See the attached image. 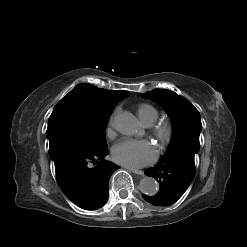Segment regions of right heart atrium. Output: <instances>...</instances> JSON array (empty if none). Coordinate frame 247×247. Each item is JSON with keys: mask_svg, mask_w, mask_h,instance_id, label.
<instances>
[{"mask_svg": "<svg viewBox=\"0 0 247 247\" xmlns=\"http://www.w3.org/2000/svg\"><path fill=\"white\" fill-rule=\"evenodd\" d=\"M118 113V110L116 109L110 116L107 127H106V134L108 137H112L114 134V128L116 123V115Z\"/></svg>", "mask_w": 247, "mask_h": 247, "instance_id": "1", "label": "right heart atrium"}]
</instances>
